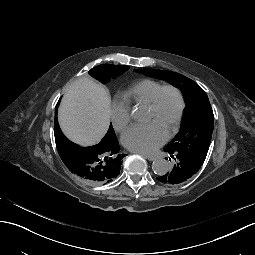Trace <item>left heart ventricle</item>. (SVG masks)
<instances>
[{"mask_svg": "<svg viewBox=\"0 0 255 255\" xmlns=\"http://www.w3.org/2000/svg\"><path fill=\"white\" fill-rule=\"evenodd\" d=\"M178 109V99L174 91L165 90L159 98L157 108L147 109L145 122L152 124L159 132L167 136L174 127Z\"/></svg>", "mask_w": 255, "mask_h": 255, "instance_id": "1", "label": "left heart ventricle"}]
</instances>
